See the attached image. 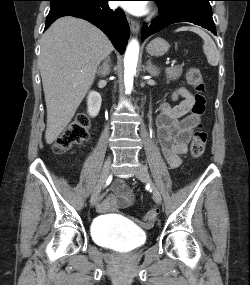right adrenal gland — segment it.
<instances>
[{"instance_id": "right-adrenal-gland-1", "label": "right adrenal gland", "mask_w": 250, "mask_h": 285, "mask_svg": "<svg viewBox=\"0 0 250 285\" xmlns=\"http://www.w3.org/2000/svg\"><path fill=\"white\" fill-rule=\"evenodd\" d=\"M111 71V66H110V57H107L103 64L98 67L97 74L101 77H105L108 75Z\"/></svg>"}]
</instances>
